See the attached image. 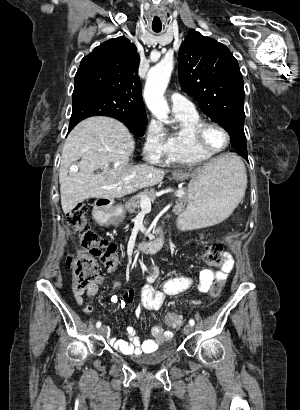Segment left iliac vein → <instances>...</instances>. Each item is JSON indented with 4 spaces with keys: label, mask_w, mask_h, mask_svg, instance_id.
<instances>
[{
    "label": "left iliac vein",
    "mask_w": 300,
    "mask_h": 410,
    "mask_svg": "<svg viewBox=\"0 0 300 410\" xmlns=\"http://www.w3.org/2000/svg\"><path fill=\"white\" fill-rule=\"evenodd\" d=\"M192 331H193V326H191L190 324H187V325L184 327V333H185V334H190V333H192Z\"/></svg>",
    "instance_id": "4c4485c4"
}]
</instances>
